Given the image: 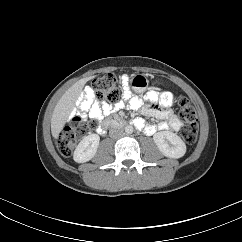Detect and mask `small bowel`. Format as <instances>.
I'll return each mask as SVG.
<instances>
[{"instance_id": "small-bowel-1", "label": "small bowel", "mask_w": 242, "mask_h": 242, "mask_svg": "<svg viewBox=\"0 0 242 242\" xmlns=\"http://www.w3.org/2000/svg\"><path fill=\"white\" fill-rule=\"evenodd\" d=\"M123 96L122 99L114 106H110L107 103H101L95 100L92 90H85L80 98L78 105L82 113L80 115L89 117L98 122L97 132H101V120L103 116L110 115L117 110L122 109L124 106H128L131 110L138 111L140 114L147 117H154L163 122L158 125L147 124L141 118L135 119V125L142 129L146 134H153L157 130L171 129L177 131L180 129L182 122L177 115L169 108L174 102L173 94L170 92H157L150 90L146 93L145 99L151 103L158 105H145L143 101L134 96L128 88L126 78H123Z\"/></svg>"}]
</instances>
